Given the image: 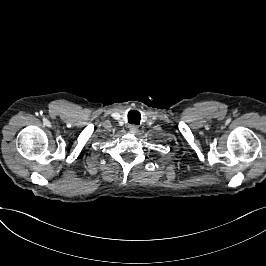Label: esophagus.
<instances>
[{"label":"esophagus","mask_w":266,"mask_h":266,"mask_svg":"<svg viewBox=\"0 0 266 266\" xmlns=\"http://www.w3.org/2000/svg\"><path fill=\"white\" fill-rule=\"evenodd\" d=\"M130 133H136L138 131V127L135 125H131L129 128Z\"/></svg>","instance_id":"obj_1"}]
</instances>
